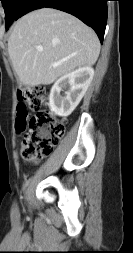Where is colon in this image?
<instances>
[{
    "label": "colon",
    "instance_id": "colon-1",
    "mask_svg": "<svg viewBox=\"0 0 133 253\" xmlns=\"http://www.w3.org/2000/svg\"><path fill=\"white\" fill-rule=\"evenodd\" d=\"M16 130L25 133L21 155L33 161L50 155L65 132L63 120L45 109L47 93L42 87H27L18 92ZM28 109L36 111L32 116Z\"/></svg>",
    "mask_w": 133,
    "mask_h": 253
}]
</instances>
